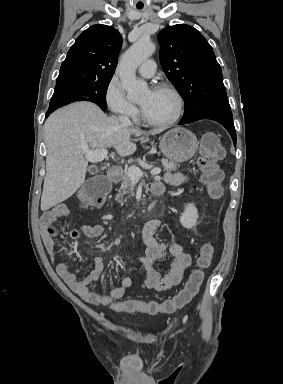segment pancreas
<instances>
[{
    "mask_svg": "<svg viewBox=\"0 0 283 384\" xmlns=\"http://www.w3.org/2000/svg\"><path fill=\"white\" fill-rule=\"evenodd\" d=\"M161 162L162 166H164V172H169V174H171V172H175L178 168L177 164H174V162H168V160H161ZM116 170L118 172V178L121 180V188L119 190V194L116 196V200L117 202H120V204H124L126 200H123V198L126 192H128L132 184V180H130L127 172H123V168H120V166H117ZM110 172L111 170H109L108 176L113 182V178H115L116 174H112V172L110 174Z\"/></svg>",
    "mask_w": 283,
    "mask_h": 384,
    "instance_id": "cf45deb5",
    "label": "pancreas"
}]
</instances>
